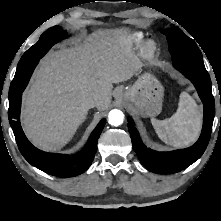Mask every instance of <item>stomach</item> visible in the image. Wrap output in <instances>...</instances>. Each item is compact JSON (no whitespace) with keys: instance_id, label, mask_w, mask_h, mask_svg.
Listing matches in <instances>:
<instances>
[{"instance_id":"1","label":"stomach","mask_w":221,"mask_h":221,"mask_svg":"<svg viewBox=\"0 0 221 221\" xmlns=\"http://www.w3.org/2000/svg\"><path fill=\"white\" fill-rule=\"evenodd\" d=\"M164 88L150 73L138 76L124 92L125 101L133 104L143 117H154L161 112Z\"/></svg>"}]
</instances>
